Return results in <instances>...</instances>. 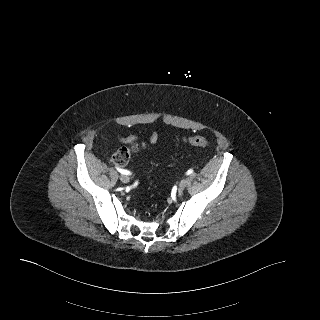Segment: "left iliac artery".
<instances>
[{"instance_id":"1","label":"left iliac artery","mask_w":320,"mask_h":320,"mask_svg":"<svg viewBox=\"0 0 320 320\" xmlns=\"http://www.w3.org/2000/svg\"><path fill=\"white\" fill-rule=\"evenodd\" d=\"M192 173H193V170H192V169H189V170L187 171V175L192 174Z\"/></svg>"}]
</instances>
